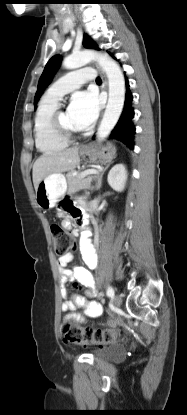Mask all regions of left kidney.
Returning <instances> with one entry per match:
<instances>
[{
    "mask_svg": "<svg viewBox=\"0 0 187 415\" xmlns=\"http://www.w3.org/2000/svg\"><path fill=\"white\" fill-rule=\"evenodd\" d=\"M108 184L115 191L121 192L127 181V171L123 164H116L111 168L107 177Z\"/></svg>",
    "mask_w": 187,
    "mask_h": 415,
    "instance_id": "left-kidney-1",
    "label": "left kidney"
}]
</instances>
